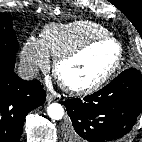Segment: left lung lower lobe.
Listing matches in <instances>:
<instances>
[{
    "label": "left lung lower lobe",
    "instance_id": "left-lung-lower-lobe-1",
    "mask_svg": "<svg viewBox=\"0 0 142 142\" xmlns=\"http://www.w3.org/2000/svg\"><path fill=\"white\" fill-rule=\"evenodd\" d=\"M64 104L71 119L67 142L121 141L142 111V75L127 69L98 92Z\"/></svg>",
    "mask_w": 142,
    "mask_h": 142
}]
</instances>
